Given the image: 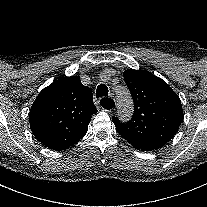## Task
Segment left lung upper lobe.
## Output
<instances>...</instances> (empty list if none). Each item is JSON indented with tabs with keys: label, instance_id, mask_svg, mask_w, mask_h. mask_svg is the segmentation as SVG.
I'll return each instance as SVG.
<instances>
[{
	"label": "left lung upper lobe",
	"instance_id": "5c2ea615",
	"mask_svg": "<svg viewBox=\"0 0 207 207\" xmlns=\"http://www.w3.org/2000/svg\"><path fill=\"white\" fill-rule=\"evenodd\" d=\"M123 77L134 100V113L127 123L113 117L116 130L138 150H158L179 129L181 100L163 79L146 70L128 69Z\"/></svg>",
	"mask_w": 207,
	"mask_h": 207
}]
</instances>
